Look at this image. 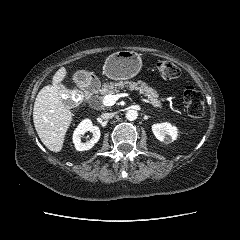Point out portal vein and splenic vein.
<instances>
[{
    "label": "portal vein and splenic vein",
    "instance_id": "18ae733b",
    "mask_svg": "<svg viewBox=\"0 0 240 240\" xmlns=\"http://www.w3.org/2000/svg\"><path fill=\"white\" fill-rule=\"evenodd\" d=\"M124 96H125L124 93H119V94H116V95H110V94L106 95L103 98V105L104 106H113L118 99H120L121 97H124ZM141 101H143L145 103H150L149 100L144 99V98H141Z\"/></svg>",
    "mask_w": 240,
    "mask_h": 240
}]
</instances>
